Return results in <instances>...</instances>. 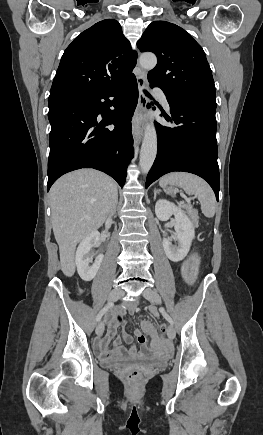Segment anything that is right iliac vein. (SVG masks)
Here are the masks:
<instances>
[{
	"instance_id": "63e3f726",
	"label": "right iliac vein",
	"mask_w": 263,
	"mask_h": 435,
	"mask_svg": "<svg viewBox=\"0 0 263 435\" xmlns=\"http://www.w3.org/2000/svg\"><path fill=\"white\" fill-rule=\"evenodd\" d=\"M123 295H124V292L121 289H118V288L113 289L108 296V302L113 303L116 300H118L119 298H121ZM103 332H104V323L101 322L96 327V334L98 336H100L103 334Z\"/></svg>"
}]
</instances>
